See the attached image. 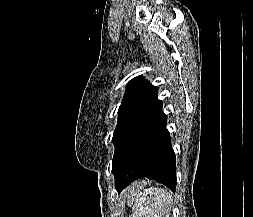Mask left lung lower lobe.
Returning a JSON list of instances; mask_svg holds the SVG:
<instances>
[{
    "label": "left lung lower lobe",
    "mask_w": 253,
    "mask_h": 217,
    "mask_svg": "<svg viewBox=\"0 0 253 217\" xmlns=\"http://www.w3.org/2000/svg\"><path fill=\"white\" fill-rule=\"evenodd\" d=\"M166 121L159 101L126 133L112 163L118 192L141 177L163 183L175 191L176 158Z\"/></svg>",
    "instance_id": "left-lung-lower-lobe-1"
}]
</instances>
